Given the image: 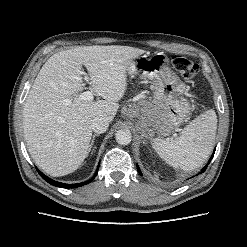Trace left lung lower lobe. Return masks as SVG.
Returning a JSON list of instances; mask_svg holds the SVG:
<instances>
[{"label": "left lung lower lobe", "mask_w": 247, "mask_h": 247, "mask_svg": "<svg viewBox=\"0 0 247 247\" xmlns=\"http://www.w3.org/2000/svg\"><path fill=\"white\" fill-rule=\"evenodd\" d=\"M213 155H214V152H213ZM213 155H212L211 158L209 159V162H208V163H210V161L212 160ZM207 166H208V165H206V166L201 170V173H203V172L206 170ZM137 170H138L139 174L142 175V173H141L140 168H139L138 165H137Z\"/></svg>", "instance_id": "0a47b994"}]
</instances>
